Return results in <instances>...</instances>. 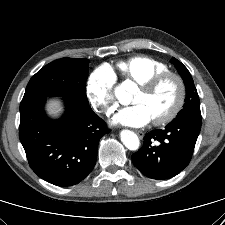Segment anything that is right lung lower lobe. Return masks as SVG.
<instances>
[{
    "label": "right lung lower lobe",
    "instance_id": "right-lung-lower-lobe-1",
    "mask_svg": "<svg viewBox=\"0 0 225 225\" xmlns=\"http://www.w3.org/2000/svg\"><path fill=\"white\" fill-rule=\"evenodd\" d=\"M47 97L22 99L19 137L32 170L57 186L81 182L93 169L105 122L89 106L65 98L66 112L59 120L44 113Z\"/></svg>",
    "mask_w": 225,
    "mask_h": 225
}]
</instances>
